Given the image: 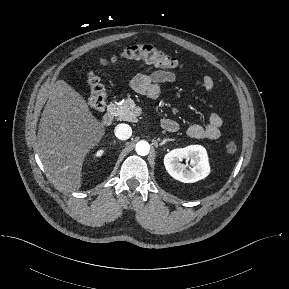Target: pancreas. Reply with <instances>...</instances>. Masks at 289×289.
Segmentation results:
<instances>
[{
    "label": "pancreas",
    "instance_id": "cf45deb5",
    "mask_svg": "<svg viewBox=\"0 0 289 289\" xmlns=\"http://www.w3.org/2000/svg\"><path fill=\"white\" fill-rule=\"evenodd\" d=\"M114 115L118 120H124L129 122H135L137 116L136 105L131 98H127L119 104H116L114 109Z\"/></svg>",
    "mask_w": 289,
    "mask_h": 289
}]
</instances>
